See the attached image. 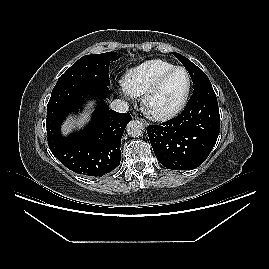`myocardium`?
Segmentation results:
<instances>
[{"label":"myocardium","mask_w":269,"mask_h":269,"mask_svg":"<svg viewBox=\"0 0 269 269\" xmlns=\"http://www.w3.org/2000/svg\"><path fill=\"white\" fill-rule=\"evenodd\" d=\"M184 71L187 76V87L184 92L183 97L181 98L180 102L175 105L173 108L163 111V112H156L153 111L150 107L152 99L156 96V94L160 91L164 83L167 79L174 74L176 71ZM192 89V78L189 71L183 66H175L172 69L168 70L167 72L163 73L155 83L143 94L142 97V108L145 114L153 120L156 121H166L169 120L176 115H178L186 106L190 92Z\"/></svg>","instance_id":"f54148a6"}]
</instances>
